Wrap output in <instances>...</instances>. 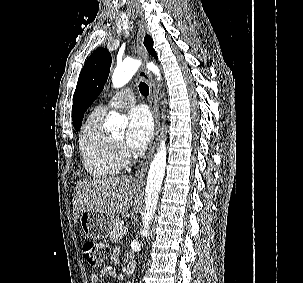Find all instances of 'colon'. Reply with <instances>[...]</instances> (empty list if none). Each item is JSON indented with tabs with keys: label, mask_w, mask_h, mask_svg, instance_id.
<instances>
[{
	"label": "colon",
	"mask_w": 303,
	"mask_h": 283,
	"mask_svg": "<svg viewBox=\"0 0 303 283\" xmlns=\"http://www.w3.org/2000/svg\"><path fill=\"white\" fill-rule=\"evenodd\" d=\"M82 256L89 266L99 268L110 255V248L99 241H85L81 247Z\"/></svg>",
	"instance_id": "1"
}]
</instances>
